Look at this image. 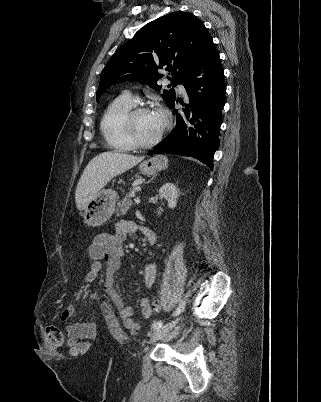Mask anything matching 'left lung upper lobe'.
Returning a JSON list of instances; mask_svg holds the SVG:
<instances>
[{
  "label": "left lung upper lobe",
  "mask_w": 321,
  "mask_h": 402,
  "mask_svg": "<svg viewBox=\"0 0 321 402\" xmlns=\"http://www.w3.org/2000/svg\"><path fill=\"white\" fill-rule=\"evenodd\" d=\"M210 38L204 24L191 13L173 12L148 23L106 64L96 100L112 84L127 80H141L159 90L156 81L163 76L159 68L170 72L168 79L176 86ZM162 97L170 105L175 90H164Z\"/></svg>",
  "instance_id": "1"
}]
</instances>
